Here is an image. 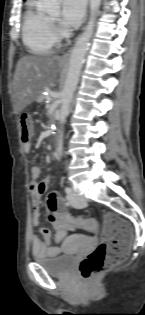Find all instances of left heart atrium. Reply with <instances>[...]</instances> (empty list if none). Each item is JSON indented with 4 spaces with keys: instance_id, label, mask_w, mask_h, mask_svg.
Masks as SVG:
<instances>
[{
    "instance_id": "1",
    "label": "left heart atrium",
    "mask_w": 145,
    "mask_h": 315,
    "mask_svg": "<svg viewBox=\"0 0 145 315\" xmlns=\"http://www.w3.org/2000/svg\"><path fill=\"white\" fill-rule=\"evenodd\" d=\"M86 0H62L61 23L64 28L77 27L85 13Z\"/></svg>"
}]
</instances>
